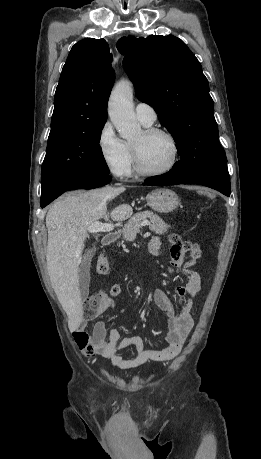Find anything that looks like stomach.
<instances>
[{"mask_svg": "<svg viewBox=\"0 0 261 459\" xmlns=\"http://www.w3.org/2000/svg\"><path fill=\"white\" fill-rule=\"evenodd\" d=\"M147 204L159 213H170L179 205L177 194L168 188H158L147 195Z\"/></svg>", "mask_w": 261, "mask_h": 459, "instance_id": "obj_1", "label": "stomach"}]
</instances>
